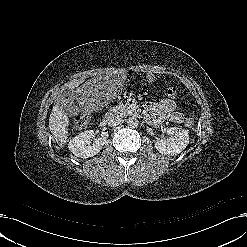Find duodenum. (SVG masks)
Returning a JSON list of instances; mask_svg holds the SVG:
<instances>
[{"label":"duodenum","mask_w":247,"mask_h":247,"mask_svg":"<svg viewBox=\"0 0 247 247\" xmlns=\"http://www.w3.org/2000/svg\"><path fill=\"white\" fill-rule=\"evenodd\" d=\"M113 117L110 115H107L101 122V126L102 127H106L111 121H112Z\"/></svg>","instance_id":"obj_1"}]
</instances>
